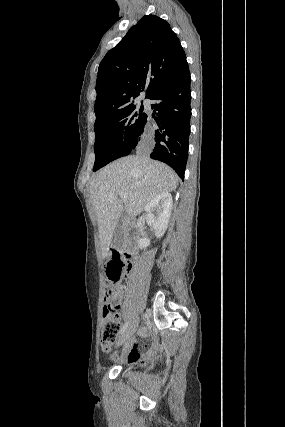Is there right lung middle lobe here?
Wrapping results in <instances>:
<instances>
[{
	"mask_svg": "<svg viewBox=\"0 0 285 427\" xmlns=\"http://www.w3.org/2000/svg\"><path fill=\"white\" fill-rule=\"evenodd\" d=\"M146 118L147 114L143 112V105L140 108L132 105L95 125L96 159L93 171L128 155L140 141Z\"/></svg>",
	"mask_w": 285,
	"mask_h": 427,
	"instance_id": "obj_1",
	"label": "right lung middle lobe"
}]
</instances>
